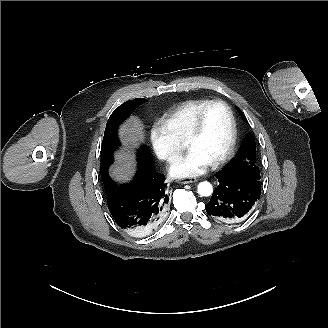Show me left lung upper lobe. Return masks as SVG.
<instances>
[{
	"instance_id": "5c2ea615",
	"label": "left lung upper lobe",
	"mask_w": 328,
	"mask_h": 328,
	"mask_svg": "<svg viewBox=\"0 0 328 328\" xmlns=\"http://www.w3.org/2000/svg\"><path fill=\"white\" fill-rule=\"evenodd\" d=\"M238 111L242 118L247 121L244 114L240 110ZM223 171L249 173L260 179V172L256 162V144L251 132L247 134L237 155L223 168Z\"/></svg>"
}]
</instances>
